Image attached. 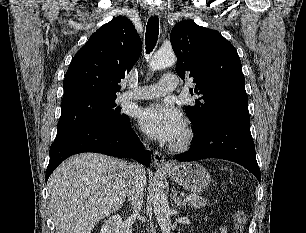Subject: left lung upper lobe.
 Wrapping results in <instances>:
<instances>
[{"label": "left lung upper lobe", "mask_w": 306, "mask_h": 233, "mask_svg": "<svg viewBox=\"0 0 306 233\" xmlns=\"http://www.w3.org/2000/svg\"><path fill=\"white\" fill-rule=\"evenodd\" d=\"M177 56L176 72L181 79L193 78L191 95L195 106L186 107L193 132L217 121H250L248 96L241 61L235 47L218 31L181 21L171 31Z\"/></svg>", "instance_id": "5c2ea615"}]
</instances>
